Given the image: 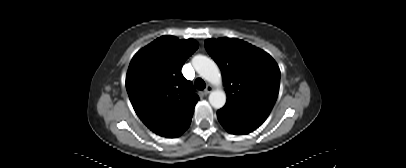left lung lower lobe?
Returning <instances> with one entry per match:
<instances>
[{
	"instance_id": "left-lung-lower-lobe-1",
	"label": "left lung lower lobe",
	"mask_w": 406,
	"mask_h": 168,
	"mask_svg": "<svg viewBox=\"0 0 406 168\" xmlns=\"http://www.w3.org/2000/svg\"><path fill=\"white\" fill-rule=\"evenodd\" d=\"M217 118L229 133L236 135L248 134L256 130L265 121L262 118L247 115L227 107L217 111Z\"/></svg>"
}]
</instances>
